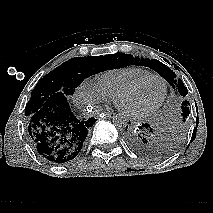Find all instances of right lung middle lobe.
<instances>
[{"label": "right lung middle lobe", "mask_w": 213, "mask_h": 213, "mask_svg": "<svg viewBox=\"0 0 213 213\" xmlns=\"http://www.w3.org/2000/svg\"><path fill=\"white\" fill-rule=\"evenodd\" d=\"M119 53L105 56L76 57L64 62L53 71L49 72L34 87L30 101L25 108V116L29 118L56 93L65 96L73 95L75 89L87 77L111 69L112 57H119Z\"/></svg>", "instance_id": "dd1d6c3e"}]
</instances>
